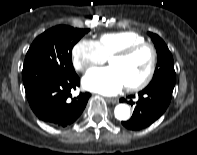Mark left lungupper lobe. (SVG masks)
Wrapping results in <instances>:
<instances>
[{"instance_id":"left-lung-upper-lobe-1","label":"left lung upper lobe","mask_w":197,"mask_h":155,"mask_svg":"<svg viewBox=\"0 0 197 155\" xmlns=\"http://www.w3.org/2000/svg\"><path fill=\"white\" fill-rule=\"evenodd\" d=\"M158 55V62L152 81L147 87L165 86L173 89L175 86L176 74L171 52L165 42L156 34L148 32Z\"/></svg>"}]
</instances>
